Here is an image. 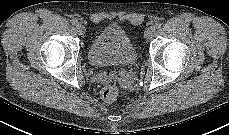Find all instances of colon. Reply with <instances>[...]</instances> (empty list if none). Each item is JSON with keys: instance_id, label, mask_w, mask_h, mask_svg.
<instances>
[{"instance_id": "5ec220e1", "label": "colon", "mask_w": 229, "mask_h": 135, "mask_svg": "<svg viewBox=\"0 0 229 135\" xmlns=\"http://www.w3.org/2000/svg\"><path fill=\"white\" fill-rule=\"evenodd\" d=\"M118 92V87L116 85L110 84L101 90L100 97L103 101L110 103L116 99Z\"/></svg>"}]
</instances>
